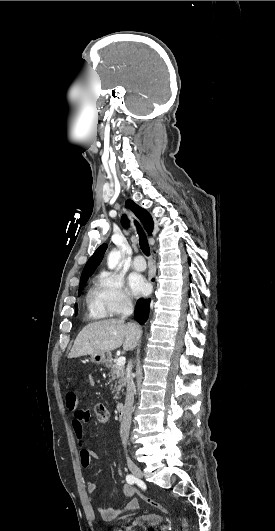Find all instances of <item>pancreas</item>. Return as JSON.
<instances>
[{
	"label": "pancreas",
	"mask_w": 275,
	"mask_h": 531,
	"mask_svg": "<svg viewBox=\"0 0 275 531\" xmlns=\"http://www.w3.org/2000/svg\"><path fill=\"white\" fill-rule=\"evenodd\" d=\"M106 367L111 369V377L109 381H114L115 383L114 389L112 391V393H115L114 399H119L120 391L127 383L126 371L124 367H119V365H116V363H113V365H106Z\"/></svg>",
	"instance_id": "cf45deb5"
}]
</instances>
